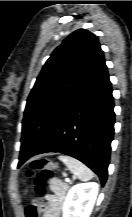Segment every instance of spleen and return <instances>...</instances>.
Instances as JSON below:
<instances>
[{"label":"spleen","instance_id":"spleen-1","mask_svg":"<svg viewBox=\"0 0 132 217\" xmlns=\"http://www.w3.org/2000/svg\"><path fill=\"white\" fill-rule=\"evenodd\" d=\"M58 158L81 181H89L94 177V173L92 172V170L81 161L67 155H61Z\"/></svg>","mask_w":132,"mask_h":217}]
</instances>
